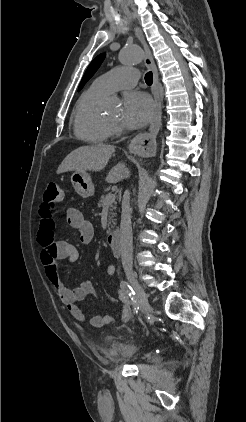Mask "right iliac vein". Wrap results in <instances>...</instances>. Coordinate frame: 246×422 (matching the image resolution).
Returning a JSON list of instances; mask_svg holds the SVG:
<instances>
[{"instance_id":"obj_1","label":"right iliac vein","mask_w":246,"mask_h":422,"mask_svg":"<svg viewBox=\"0 0 246 422\" xmlns=\"http://www.w3.org/2000/svg\"><path fill=\"white\" fill-rule=\"evenodd\" d=\"M127 278L137 293L138 306L140 307L141 312L147 313L150 310V305L144 289L132 273H127Z\"/></svg>"}]
</instances>
